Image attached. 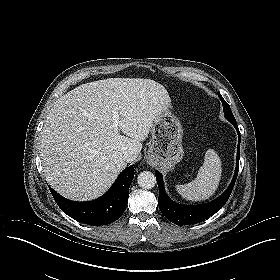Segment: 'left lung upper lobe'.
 Returning a JSON list of instances; mask_svg holds the SVG:
<instances>
[{
  "label": "left lung upper lobe",
  "instance_id": "obj_1",
  "mask_svg": "<svg viewBox=\"0 0 280 280\" xmlns=\"http://www.w3.org/2000/svg\"><path fill=\"white\" fill-rule=\"evenodd\" d=\"M218 96L222 102L223 105V110H224V114H225V118L230 121L232 124H237L234 115L230 109V106L227 104V102L223 99V97L221 96L220 93H218Z\"/></svg>",
  "mask_w": 280,
  "mask_h": 280
}]
</instances>
